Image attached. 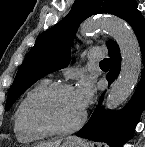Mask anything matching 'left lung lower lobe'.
Returning <instances> with one entry per match:
<instances>
[{
	"instance_id": "1",
	"label": "left lung lower lobe",
	"mask_w": 145,
	"mask_h": 147,
	"mask_svg": "<svg viewBox=\"0 0 145 147\" xmlns=\"http://www.w3.org/2000/svg\"><path fill=\"white\" fill-rule=\"evenodd\" d=\"M123 19L133 28L141 48L142 63L144 65L141 80L131 100L118 112L100 108L104 97L103 93L99 99L98 107L88 123L76 133L77 136L85 139L106 142L111 147H122L133 136L135 125L145 108V19L137 10V3L134 0L129 3ZM107 47L112 62V67L106 75L110 85L120 72L121 55L116 42L112 41Z\"/></svg>"
}]
</instances>
